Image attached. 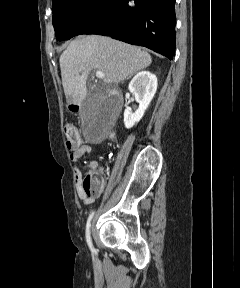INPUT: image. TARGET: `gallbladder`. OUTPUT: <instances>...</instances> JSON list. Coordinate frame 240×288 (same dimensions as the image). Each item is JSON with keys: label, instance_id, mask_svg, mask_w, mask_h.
Instances as JSON below:
<instances>
[{"label": "gallbladder", "instance_id": "obj_1", "mask_svg": "<svg viewBox=\"0 0 240 288\" xmlns=\"http://www.w3.org/2000/svg\"><path fill=\"white\" fill-rule=\"evenodd\" d=\"M112 111V107L109 105L105 93L88 91L87 97L83 104L82 116H92L94 114H100L107 116Z\"/></svg>", "mask_w": 240, "mask_h": 288}]
</instances>
